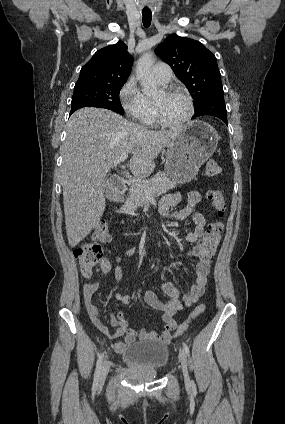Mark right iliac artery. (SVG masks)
Wrapping results in <instances>:
<instances>
[{"mask_svg": "<svg viewBox=\"0 0 285 424\" xmlns=\"http://www.w3.org/2000/svg\"><path fill=\"white\" fill-rule=\"evenodd\" d=\"M104 354L101 353L98 357L95 374H94V381H93V389H96L99 382V375H100V369L103 362Z\"/></svg>", "mask_w": 285, "mask_h": 424, "instance_id": "82829eb1", "label": "right iliac artery"}]
</instances>
